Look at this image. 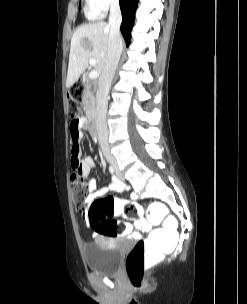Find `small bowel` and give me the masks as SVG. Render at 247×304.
Returning a JSON list of instances; mask_svg holds the SVG:
<instances>
[{"mask_svg":"<svg viewBox=\"0 0 247 304\" xmlns=\"http://www.w3.org/2000/svg\"><path fill=\"white\" fill-rule=\"evenodd\" d=\"M76 116V115H75ZM87 125L85 118H80L78 120L70 121V151L71 156L69 157V162L73 170L77 171L83 177H88L92 169L95 167L96 163L92 157L84 158V152H82V144L80 141L83 136L82 128ZM123 183L113 180L112 184L109 187L97 189V182L95 179H90L87 183L88 195L86 197V203H91L94 200L104 196L108 191H122L124 190ZM134 199H137V195H133ZM83 218L89 222L88 212L86 209L82 210ZM129 229V234L125 235L126 237H134L139 235L140 232H147L150 229V225L145 224V219H139L134 228L131 226L127 227Z\"/></svg>","mask_w":247,"mask_h":304,"instance_id":"c3829d8e","label":"small bowel"}]
</instances>
